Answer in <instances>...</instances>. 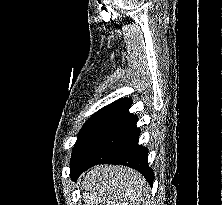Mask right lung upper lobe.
<instances>
[{
  "label": "right lung upper lobe",
  "mask_w": 222,
  "mask_h": 205,
  "mask_svg": "<svg viewBox=\"0 0 222 205\" xmlns=\"http://www.w3.org/2000/svg\"><path fill=\"white\" fill-rule=\"evenodd\" d=\"M127 99L128 98H123V99L117 100V101L111 103L110 105H107L104 108L100 109L98 112H106V113H108V112L114 110L116 107H118L121 103H123Z\"/></svg>",
  "instance_id": "right-lung-upper-lobe-1"
}]
</instances>
